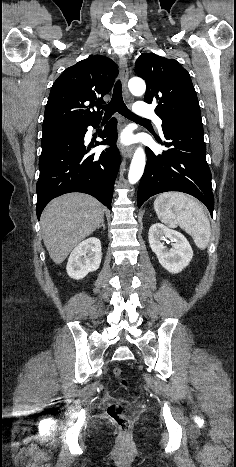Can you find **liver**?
<instances>
[{
    "instance_id": "liver-1",
    "label": "liver",
    "mask_w": 236,
    "mask_h": 467,
    "mask_svg": "<svg viewBox=\"0 0 236 467\" xmlns=\"http://www.w3.org/2000/svg\"><path fill=\"white\" fill-rule=\"evenodd\" d=\"M103 217V205L87 194L69 193L53 199L40 221L44 245L53 262L61 264L101 225Z\"/></svg>"
}]
</instances>
